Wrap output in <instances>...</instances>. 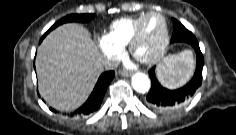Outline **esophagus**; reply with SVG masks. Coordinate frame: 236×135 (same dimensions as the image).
Listing matches in <instances>:
<instances>
[{
  "instance_id": "esophagus-1",
  "label": "esophagus",
  "mask_w": 236,
  "mask_h": 135,
  "mask_svg": "<svg viewBox=\"0 0 236 135\" xmlns=\"http://www.w3.org/2000/svg\"><path fill=\"white\" fill-rule=\"evenodd\" d=\"M134 72L133 71H128V70H123L122 72H121V74L123 75V76H131L132 74H133Z\"/></svg>"
}]
</instances>
